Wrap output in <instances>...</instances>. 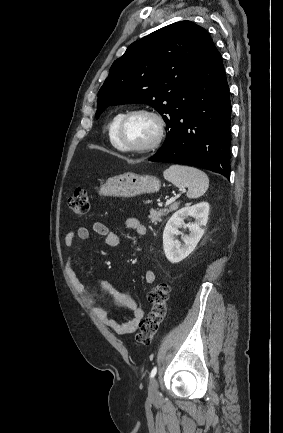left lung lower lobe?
<instances>
[{
	"label": "left lung lower lobe",
	"mask_w": 283,
	"mask_h": 433,
	"mask_svg": "<svg viewBox=\"0 0 283 433\" xmlns=\"http://www.w3.org/2000/svg\"><path fill=\"white\" fill-rule=\"evenodd\" d=\"M191 105L167 125L163 146L149 161L190 165L230 178L231 105L222 57L216 47L191 88Z\"/></svg>",
	"instance_id": "0a47b994"
}]
</instances>
